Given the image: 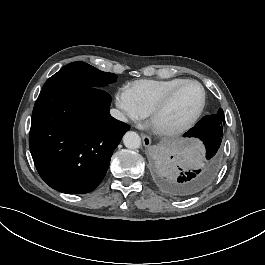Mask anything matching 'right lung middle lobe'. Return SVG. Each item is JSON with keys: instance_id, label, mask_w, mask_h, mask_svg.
I'll return each instance as SVG.
<instances>
[{"instance_id": "right-lung-middle-lobe-1", "label": "right lung middle lobe", "mask_w": 265, "mask_h": 265, "mask_svg": "<svg viewBox=\"0 0 265 265\" xmlns=\"http://www.w3.org/2000/svg\"><path fill=\"white\" fill-rule=\"evenodd\" d=\"M117 76L102 72L84 62H73L50 77L43 86L44 89H83L101 88L115 82Z\"/></svg>"}]
</instances>
